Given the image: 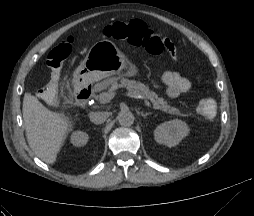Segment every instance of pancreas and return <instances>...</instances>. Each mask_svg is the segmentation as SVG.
<instances>
[{"label": "pancreas", "instance_id": "obj_1", "mask_svg": "<svg viewBox=\"0 0 254 216\" xmlns=\"http://www.w3.org/2000/svg\"><path fill=\"white\" fill-rule=\"evenodd\" d=\"M98 86L102 88H108L109 90H114L118 87L125 88L129 92H132L134 95H140L144 99L150 100L153 104V107L157 110L168 113L170 115L186 117V115L182 114L179 109L168 105L163 98L159 97L157 93L151 91L141 82H136L135 80H130L124 77H112L100 83ZM102 95L103 94H100L98 99H100Z\"/></svg>", "mask_w": 254, "mask_h": 216}]
</instances>
